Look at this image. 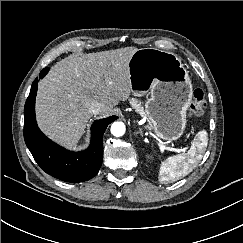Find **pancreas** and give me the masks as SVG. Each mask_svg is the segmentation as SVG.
I'll use <instances>...</instances> for the list:
<instances>
[{
  "mask_svg": "<svg viewBox=\"0 0 243 243\" xmlns=\"http://www.w3.org/2000/svg\"><path fill=\"white\" fill-rule=\"evenodd\" d=\"M131 105L132 107L138 112V113H143L144 109L143 107L139 104V102L136 99L131 100Z\"/></svg>",
  "mask_w": 243,
  "mask_h": 243,
  "instance_id": "cf45deb5",
  "label": "pancreas"
}]
</instances>
